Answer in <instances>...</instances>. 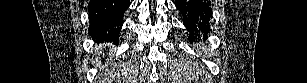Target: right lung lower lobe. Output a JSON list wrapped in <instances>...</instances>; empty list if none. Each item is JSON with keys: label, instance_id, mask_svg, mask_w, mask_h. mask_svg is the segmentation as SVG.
<instances>
[{"label": "right lung lower lobe", "instance_id": "right-lung-lower-lobe-1", "mask_svg": "<svg viewBox=\"0 0 307 83\" xmlns=\"http://www.w3.org/2000/svg\"><path fill=\"white\" fill-rule=\"evenodd\" d=\"M130 0H90L89 34L97 40L117 41Z\"/></svg>", "mask_w": 307, "mask_h": 83}]
</instances>
